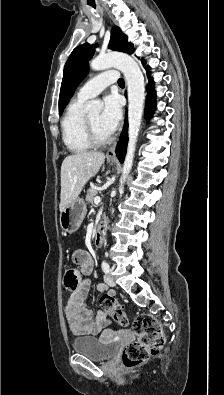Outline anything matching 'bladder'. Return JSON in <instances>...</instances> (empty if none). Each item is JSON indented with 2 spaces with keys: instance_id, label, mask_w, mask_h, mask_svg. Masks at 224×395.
<instances>
[{
  "instance_id": "obj_1",
  "label": "bladder",
  "mask_w": 224,
  "mask_h": 395,
  "mask_svg": "<svg viewBox=\"0 0 224 395\" xmlns=\"http://www.w3.org/2000/svg\"><path fill=\"white\" fill-rule=\"evenodd\" d=\"M72 347L76 353L93 361H107L116 353L113 342L106 341L103 337H77L73 340Z\"/></svg>"
}]
</instances>
